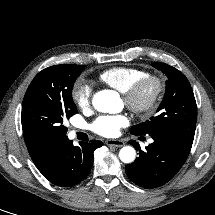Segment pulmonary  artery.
I'll return each instance as SVG.
<instances>
[{
	"instance_id": "e3ab8cb5",
	"label": "pulmonary artery",
	"mask_w": 215,
	"mask_h": 215,
	"mask_svg": "<svg viewBox=\"0 0 215 215\" xmlns=\"http://www.w3.org/2000/svg\"><path fill=\"white\" fill-rule=\"evenodd\" d=\"M72 135H75V131H72Z\"/></svg>"
}]
</instances>
